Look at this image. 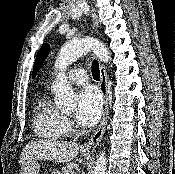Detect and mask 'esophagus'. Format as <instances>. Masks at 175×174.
<instances>
[{"instance_id":"esophagus-1","label":"esophagus","mask_w":175,"mask_h":174,"mask_svg":"<svg viewBox=\"0 0 175 174\" xmlns=\"http://www.w3.org/2000/svg\"><path fill=\"white\" fill-rule=\"evenodd\" d=\"M92 18H93V26L95 29L99 27V20L96 15L95 9L92 7ZM99 70H100V82H99V88L103 96V116L102 120L100 122L99 127L96 129V131L93 133L92 137L89 139L87 143L84 144L85 149H94L99 144L106 128L107 119L109 115V108H108V90H107V72L102 63L99 62Z\"/></svg>"}]
</instances>
